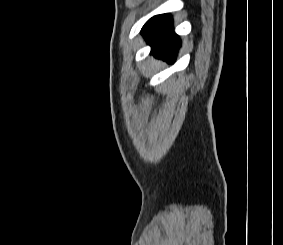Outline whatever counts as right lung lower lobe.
Listing matches in <instances>:
<instances>
[{
  "label": "right lung lower lobe",
  "mask_w": 283,
  "mask_h": 245,
  "mask_svg": "<svg viewBox=\"0 0 283 245\" xmlns=\"http://www.w3.org/2000/svg\"><path fill=\"white\" fill-rule=\"evenodd\" d=\"M141 33L152 46V54L169 63L174 61L178 48L179 37L174 33L172 17L169 14L151 18L142 28Z\"/></svg>",
  "instance_id": "obj_1"
}]
</instances>
